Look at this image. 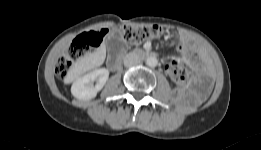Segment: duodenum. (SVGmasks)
Here are the masks:
<instances>
[{
    "instance_id": "obj_1",
    "label": "duodenum",
    "mask_w": 261,
    "mask_h": 150,
    "mask_svg": "<svg viewBox=\"0 0 261 150\" xmlns=\"http://www.w3.org/2000/svg\"><path fill=\"white\" fill-rule=\"evenodd\" d=\"M133 54L136 57H155V54L150 53L146 50H136ZM121 61L122 57L115 54L110 56V58L108 59V65L112 70H116L120 66Z\"/></svg>"
}]
</instances>
